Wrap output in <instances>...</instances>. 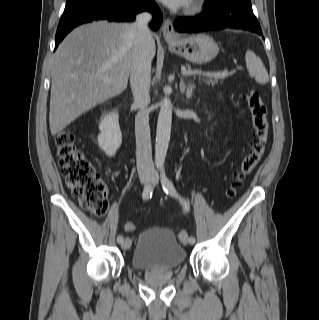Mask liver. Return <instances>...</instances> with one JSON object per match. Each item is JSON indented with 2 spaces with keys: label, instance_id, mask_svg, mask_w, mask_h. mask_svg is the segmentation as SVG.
<instances>
[{
  "label": "liver",
  "instance_id": "liver-1",
  "mask_svg": "<svg viewBox=\"0 0 319 320\" xmlns=\"http://www.w3.org/2000/svg\"><path fill=\"white\" fill-rule=\"evenodd\" d=\"M129 28L128 23L93 22L75 28L60 43L51 65L52 135L126 89L133 54ZM155 52L152 40L151 60Z\"/></svg>",
  "mask_w": 319,
  "mask_h": 320
}]
</instances>
